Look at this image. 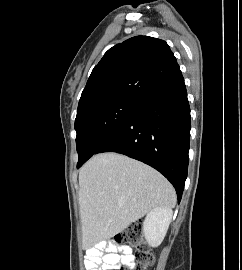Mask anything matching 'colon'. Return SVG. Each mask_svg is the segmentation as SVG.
<instances>
[{
	"label": "colon",
	"instance_id": "5ec220e1",
	"mask_svg": "<svg viewBox=\"0 0 242 270\" xmlns=\"http://www.w3.org/2000/svg\"><path fill=\"white\" fill-rule=\"evenodd\" d=\"M143 227L141 223L134 222L129 225V227L118 234L115 237V242L123 245L136 244L137 254H136V263L135 269L145 270L146 268L153 265L155 262V255L150 250V248L143 243L142 241ZM120 270H125L124 267H121Z\"/></svg>",
	"mask_w": 242,
	"mask_h": 270
}]
</instances>
